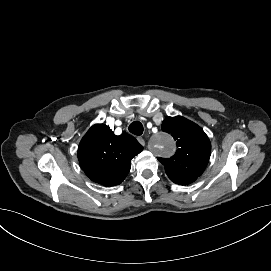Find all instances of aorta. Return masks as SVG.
Instances as JSON below:
<instances>
[{
  "mask_svg": "<svg viewBox=\"0 0 271 271\" xmlns=\"http://www.w3.org/2000/svg\"><path fill=\"white\" fill-rule=\"evenodd\" d=\"M152 148L162 156H169L175 150V142L170 135L159 133L152 139Z\"/></svg>",
  "mask_w": 271,
  "mask_h": 271,
  "instance_id": "1",
  "label": "aorta"
}]
</instances>
